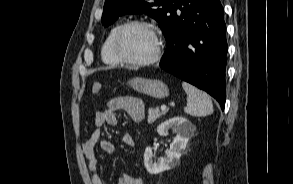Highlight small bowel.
I'll return each instance as SVG.
<instances>
[{"label": "small bowel", "instance_id": "small-bowel-1", "mask_svg": "<svg viewBox=\"0 0 293 184\" xmlns=\"http://www.w3.org/2000/svg\"><path fill=\"white\" fill-rule=\"evenodd\" d=\"M123 111L129 115L135 123L141 122L145 117V106L141 99L133 96L115 97L108 101L105 109L97 111L94 117L95 129L90 137L83 143L82 151L88 161V169L91 175L92 184H105L98 174V161L95 156V147L99 145L100 149L112 154L115 150L111 141L104 139L102 128L105 125L115 126L118 123L117 112ZM123 143L129 147L135 145L134 138L131 134H124ZM117 184H144L142 178L133 176L128 173H122Z\"/></svg>", "mask_w": 293, "mask_h": 184}]
</instances>
